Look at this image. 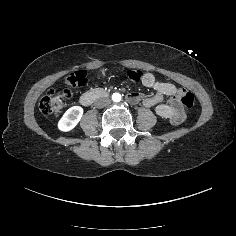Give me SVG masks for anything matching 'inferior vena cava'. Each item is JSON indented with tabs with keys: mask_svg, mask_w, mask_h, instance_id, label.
<instances>
[{
	"mask_svg": "<svg viewBox=\"0 0 236 236\" xmlns=\"http://www.w3.org/2000/svg\"><path fill=\"white\" fill-rule=\"evenodd\" d=\"M111 103V100L109 98H99L98 100L95 101L94 106L96 108H102Z\"/></svg>",
	"mask_w": 236,
	"mask_h": 236,
	"instance_id": "1",
	"label": "inferior vena cava"
}]
</instances>
